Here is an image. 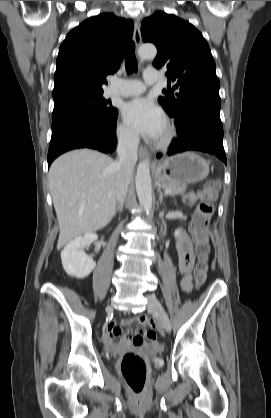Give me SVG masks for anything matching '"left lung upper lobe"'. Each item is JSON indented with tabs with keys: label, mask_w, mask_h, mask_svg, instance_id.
Here are the masks:
<instances>
[{
	"label": "left lung upper lobe",
	"mask_w": 271,
	"mask_h": 418,
	"mask_svg": "<svg viewBox=\"0 0 271 418\" xmlns=\"http://www.w3.org/2000/svg\"><path fill=\"white\" fill-rule=\"evenodd\" d=\"M144 42L156 45V68L167 67L168 83L159 103L171 117L199 108L220 110V81L210 48L202 34L189 22L164 12L144 19ZM177 90L174 93L173 90Z\"/></svg>",
	"instance_id": "5c2ea615"
}]
</instances>
